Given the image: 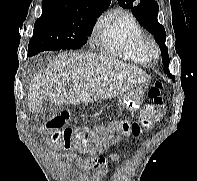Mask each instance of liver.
<instances>
[{"instance_id":"obj_1","label":"liver","mask_w":197,"mask_h":181,"mask_svg":"<svg viewBox=\"0 0 197 181\" xmlns=\"http://www.w3.org/2000/svg\"><path fill=\"white\" fill-rule=\"evenodd\" d=\"M151 76L137 66L110 57L88 53H61L40 71L29 87V110L38 113L42 101L54 105L93 103L122 95ZM70 89H66L69 82Z\"/></svg>"}]
</instances>
